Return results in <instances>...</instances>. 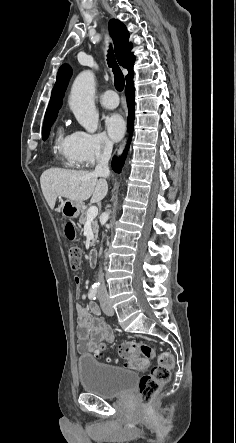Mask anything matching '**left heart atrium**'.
I'll use <instances>...</instances> for the list:
<instances>
[{
  "label": "left heart atrium",
  "mask_w": 236,
  "mask_h": 443,
  "mask_svg": "<svg viewBox=\"0 0 236 443\" xmlns=\"http://www.w3.org/2000/svg\"><path fill=\"white\" fill-rule=\"evenodd\" d=\"M105 134L111 141L119 140L125 131L122 117L116 113L108 114L103 120Z\"/></svg>",
  "instance_id": "obj_1"
}]
</instances>
